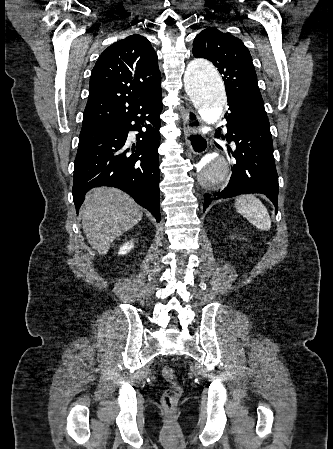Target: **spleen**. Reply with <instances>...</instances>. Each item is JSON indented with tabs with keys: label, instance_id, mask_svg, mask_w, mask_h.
Wrapping results in <instances>:
<instances>
[{
	"label": "spleen",
	"instance_id": "1",
	"mask_svg": "<svg viewBox=\"0 0 333 449\" xmlns=\"http://www.w3.org/2000/svg\"><path fill=\"white\" fill-rule=\"evenodd\" d=\"M235 207L255 227L268 230L271 227V218L267 208L254 195H242L236 199Z\"/></svg>",
	"mask_w": 333,
	"mask_h": 449
}]
</instances>
